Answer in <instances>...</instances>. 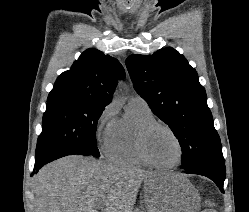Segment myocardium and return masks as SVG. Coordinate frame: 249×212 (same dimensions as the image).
<instances>
[{"instance_id": "obj_1", "label": "myocardium", "mask_w": 249, "mask_h": 212, "mask_svg": "<svg viewBox=\"0 0 249 212\" xmlns=\"http://www.w3.org/2000/svg\"><path fill=\"white\" fill-rule=\"evenodd\" d=\"M156 130H163L169 133L177 142L178 147H179V158L176 163L171 164V165H163L157 163L151 156L148 148V143H149V138L152 135L153 132ZM138 148L141 157L152 167L158 168V169H174L177 168L183 161L184 155H185V149L184 145L179 138V136L176 134V132L170 128L168 125L153 121L150 123H147L144 125L138 133Z\"/></svg>"}]
</instances>
